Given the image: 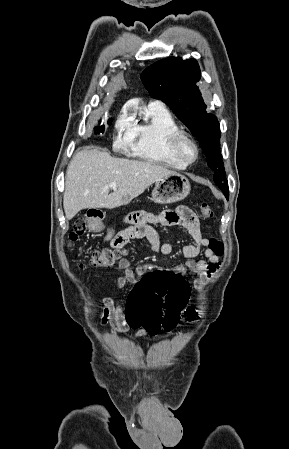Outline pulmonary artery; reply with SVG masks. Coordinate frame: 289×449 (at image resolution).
<instances>
[{"label":"pulmonary artery","mask_w":289,"mask_h":449,"mask_svg":"<svg viewBox=\"0 0 289 449\" xmlns=\"http://www.w3.org/2000/svg\"><path fill=\"white\" fill-rule=\"evenodd\" d=\"M152 104H159V105H162V103L161 102H159V101H154V102H151Z\"/></svg>","instance_id":"1"}]
</instances>
